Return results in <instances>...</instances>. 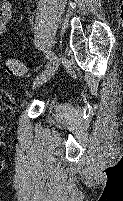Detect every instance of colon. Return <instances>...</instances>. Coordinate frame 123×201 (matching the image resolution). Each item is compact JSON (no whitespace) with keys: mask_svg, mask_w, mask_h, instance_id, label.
Masks as SVG:
<instances>
[{"mask_svg":"<svg viewBox=\"0 0 123 201\" xmlns=\"http://www.w3.org/2000/svg\"><path fill=\"white\" fill-rule=\"evenodd\" d=\"M6 71L13 76L22 75L25 72L24 64L18 59H10L6 63Z\"/></svg>","mask_w":123,"mask_h":201,"instance_id":"colon-1","label":"colon"}]
</instances>
